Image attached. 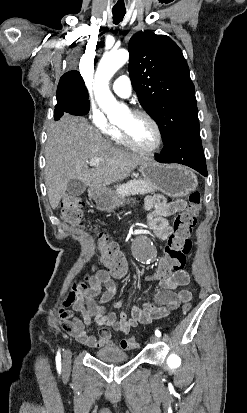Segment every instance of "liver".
<instances>
[{"label": "liver", "instance_id": "6515ba94", "mask_svg": "<svg viewBox=\"0 0 247 413\" xmlns=\"http://www.w3.org/2000/svg\"><path fill=\"white\" fill-rule=\"evenodd\" d=\"M44 178L52 209H57L69 180L78 178L93 190L119 182L148 160L134 152L115 148L98 128L83 116L64 114L53 122L45 148ZM89 158H100L89 168Z\"/></svg>", "mask_w": 247, "mask_h": 413}]
</instances>
